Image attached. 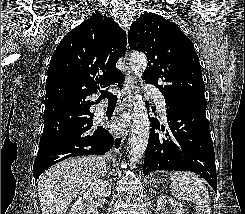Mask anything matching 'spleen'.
I'll return each instance as SVG.
<instances>
[{
    "mask_svg": "<svg viewBox=\"0 0 245 214\" xmlns=\"http://www.w3.org/2000/svg\"><path fill=\"white\" fill-rule=\"evenodd\" d=\"M171 181L170 189L174 197L194 203L197 214H211L209 194L198 175L176 171L171 174Z\"/></svg>",
    "mask_w": 245,
    "mask_h": 214,
    "instance_id": "spleen-1",
    "label": "spleen"
}]
</instances>
